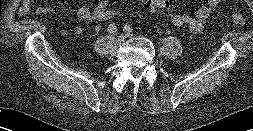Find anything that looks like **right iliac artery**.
Instances as JSON below:
<instances>
[{
    "mask_svg": "<svg viewBox=\"0 0 253 131\" xmlns=\"http://www.w3.org/2000/svg\"><path fill=\"white\" fill-rule=\"evenodd\" d=\"M108 32L111 33V34H115L117 33L118 29H117V26L114 24V23H111L109 26H108Z\"/></svg>",
    "mask_w": 253,
    "mask_h": 131,
    "instance_id": "obj_1",
    "label": "right iliac artery"
}]
</instances>
